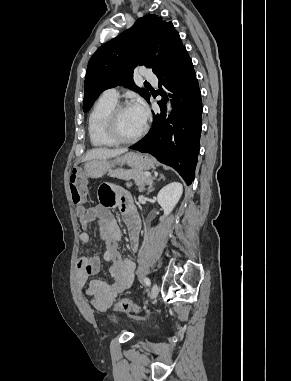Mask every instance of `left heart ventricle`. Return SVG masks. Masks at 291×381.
<instances>
[{
    "label": "left heart ventricle",
    "instance_id": "1",
    "mask_svg": "<svg viewBox=\"0 0 291 381\" xmlns=\"http://www.w3.org/2000/svg\"><path fill=\"white\" fill-rule=\"evenodd\" d=\"M143 126L144 124L132 107L123 110L118 116L117 130L124 138L134 137L142 130Z\"/></svg>",
    "mask_w": 291,
    "mask_h": 381
}]
</instances>
